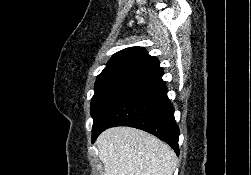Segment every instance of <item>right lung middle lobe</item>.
<instances>
[{
  "mask_svg": "<svg viewBox=\"0 0 251 175\" xmlns=\"http://www.w3.org/2000/svg\"><path fill=\"white\" fill-rule=\"evenodd\" d=\"M137 81V79L129 76L96 80L95 93L90 105L91 116L93 118L92 134L98 129L102 116L108 107L123 91Z\"/></svg>",
  "mask_w": 251,
  "mask_h": 175,
  "instance_id": "dd1d6c3e",
  "label": "right lung middle lobe"
}]
</instances>
